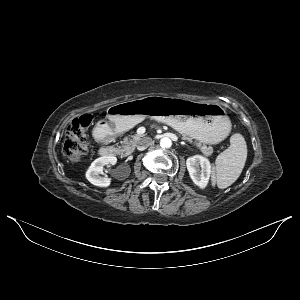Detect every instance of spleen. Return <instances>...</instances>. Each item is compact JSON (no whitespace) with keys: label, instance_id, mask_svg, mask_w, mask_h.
<instances>
[{"label":"spleen","instance_id":"3e777b00","mask_svg":"<svg viewBox=\"0 0 300 300\" xmlns=\"http://www.w3.org/2000/svg\"><path fill=\"white\" fill-rule=\"evenodd\" d=\"M247 158V145L244 137L233 134L230 147L220 153L215 161L212 174V185L225 189L232 185L240 176Z\"/></svg>","mask_w":300,"mask_h":300}]
</instances>
